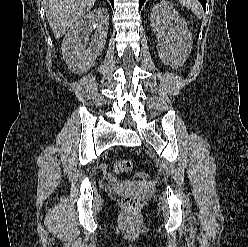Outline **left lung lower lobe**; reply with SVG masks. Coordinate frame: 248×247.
Here are the masks:
<instances>
[{
    "label": "left lung lower lobe",
    "mask_w": 248,
    "mask_h": 247,
    "mask_svg": "<svg viewBox=\"0 0 248 247\" xmlns=\"http://www.w3.org/2000/svg\"><path fill=\"white\" fill-rule=\"evenodd\" d=\"M145 1L146 0H140V3H139L140 10H141V8H142V6H143V4H144ZM198 1L201 3L202 7L205 10V8H206V0H198Z\"/></svg>",
    "instance_id": "0a47b994"
}]
</instances>
